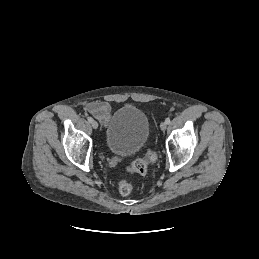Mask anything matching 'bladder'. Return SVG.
Masks as SVG:
<instances>
[{"instance_id": "obj_1", "label": "bladder", "mask_w": 259, "mask_h": 259, "mask_svg": "<svg viewBox=\"0 0 259 259\" xmlns=\"http://www.w3.org/2000/svg\"><path fill=\"white\" fill-rule=\"evenodd\" d=\"M149 135L146 114L133 105H125L111 117L105 131V144L112 153L127 157L140 151Z\"/></svg>"}]
</instances>
